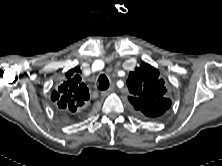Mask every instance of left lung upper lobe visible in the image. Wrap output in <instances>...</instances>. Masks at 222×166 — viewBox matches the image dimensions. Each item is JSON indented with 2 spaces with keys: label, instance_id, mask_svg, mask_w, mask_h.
<instances>
[{
  "label": "left lung upper lobe",
  "instance_id": "obj_1",
  "mask_svg": "<svg viewBox=\"0 0 222 166\" xmlns=\"http://www.w3.org/2000/svg\"><path fill=\"white\" fill-rule=\"evenodd\" d=\"M126 83L131 93L129 101L141 116L156 118L165 112L162 102L168 99L167 89L157 69L142 63L135 71L129 73Z\"/></svg>",
  "mask_w": 222,
  "mask_h": 166
}]
</instances>
